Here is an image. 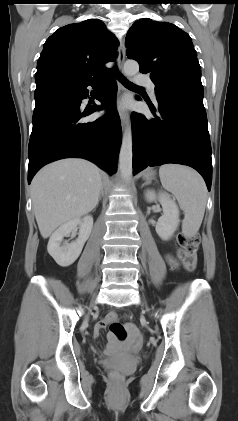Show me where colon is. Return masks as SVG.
<instances>
[{
  "mask_svg": "<svg viewBox=\"0 0 238 421\" xmlns=\"http://www.w3.org/2000/svg\"><path fill=\"white\" fill-rule=\"evenodd\" d=\"M178 241L180 244L178 257L186 270L193 271L197 265L196 252L200 245V238L197 234L182 233L179 235ZM108 324L110 333L115 339L119 341L126 339L127 329L118 320L116 314L109 318ZM110 380L114 386H120L124 380V377L118 371H112L110 373Z\"/></svg>",
  "mask_w": 238,
  "mask_h": 421,
  "instance_id": "obj_1",
  "label": "colon"
}]
</instances>
